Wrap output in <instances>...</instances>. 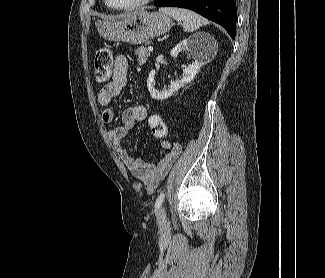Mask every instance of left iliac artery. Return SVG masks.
Masks as SVG:
<instances>
[{
	"instance_id": "44dca946",
	"label": "left iliac artery",
	"mask_w": 325,
	"mask_h": 278,
	"mask_svg": "<svg viewBox=\"0 0 325 278\" xmlns=\"http://www.w3.org/2000/svg\"><path fill=\"white\" fill-rule=\"evenodd\" d=\"M164 198H165V194L164 193H161L157 199H156V202H155V212L158 211V209L160 208L162 202L164 201Z\"/></svg>"
}]
</instances>
